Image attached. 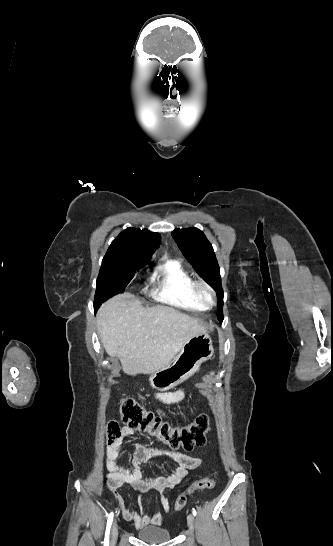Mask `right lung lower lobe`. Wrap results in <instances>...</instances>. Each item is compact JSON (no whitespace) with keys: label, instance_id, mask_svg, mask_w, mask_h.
I'll use <instances>...</instances> for the list:
<instances>
[{"label":"right lung lower lobe","instance_id":"obj_1","mask_svg":"<svg viewBox=\"0 0 333 546\" xmlns=\"http://www.w3.org/2000/svg\"><path fill=\"white\" fill-rule=\"evenodd\" d=\"M95 311L98 309V307L94 304Z\"/></svg>","mask_w":333,"mask_h":546}]
</instances>
